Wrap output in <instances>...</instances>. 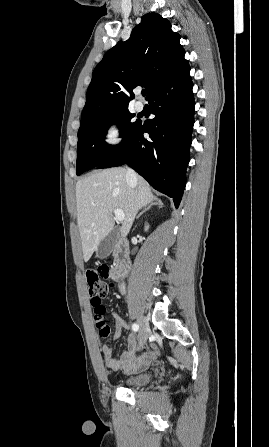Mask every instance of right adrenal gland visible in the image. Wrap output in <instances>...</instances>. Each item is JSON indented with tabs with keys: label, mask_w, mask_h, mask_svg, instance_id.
Returning a JSON list of instances; mask_svg holds the SVG:
<instances>
[{
	"label": "right adrenal gland",
	"mask_w": 269,
	"mask_h": 447,
	"mask_svg": "<svg viewBox=\"0 0 269 447\" xmlns=\"http://www.w3.org/2000/svg\"><path fill=\"white\" fill-rule=\"evenodd\" d=\"M155 202H153V204H148L147 208H144L143 212H140L139 216H137L136 220H139V218H141V216H143V214H145V212H148V210H151V208H153V206H159V208H163V204L161 202V200H158V198H154Z\"/></svg>",
	"instance_id": "2a0ac1e0"
}]
</instances>
